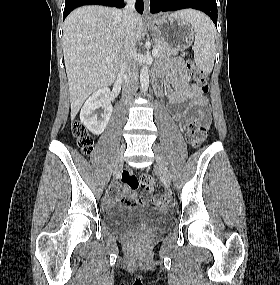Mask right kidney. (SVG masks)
<instances>
[{"label": "right kidney", "instance_id": "1", "mask_svg": "<svg viewBox=\"0 0 280 285\" xmlns=\"http://www.w3.org/2000/svg\"><path fill=\"white\" fill-rule=\"evenodd\" d=\"M109 95L108 88L98 89L87 99L81 109L80 120L94 135H100L110 120L113 108ZM98 108L104 109V113L100 117L95 114V110Z\"/></svg>", "mask_w": 280, "mask_h": 285}]
</instances>
